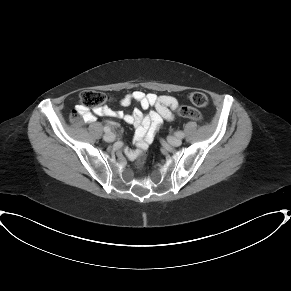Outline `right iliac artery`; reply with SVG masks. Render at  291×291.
Masks as SVG:
<instances>
[{
  "mask_svg": "<svg viewBox=\"0 0 291 291\" xmlns=\"http://www.w3.org/2000/svg\"><path fill=\"white\" fill-rule=\"evenodd\" d=\"M110 131H111V129L109 128V127H104V132H106V133H110Z\"/></svg>",
  "mask_w": 291,
  "mask_h": 291,
  "instance_id": "obj_1",
  "label": "right iliac artery"
}]
</instances>
